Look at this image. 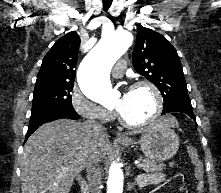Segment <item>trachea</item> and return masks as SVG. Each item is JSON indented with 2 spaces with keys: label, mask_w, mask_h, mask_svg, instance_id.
I'll return each mask as SVG.
<instances>
[{
  "label": "trachea",
  "mask_w": 221,
  "mask_h": 193,
  "mask_svg": "<svg viewBox=\"0 0 221 193\" xmlns=\"http://www.w3.org/2000/svg\"><path fill=\"white\" fill-rule=\"evenodd\" d=\"M112 0H103V10L106 12L110 8Z\"/></svg>",
  "instance_id": "trachea-1"
}]
</instances>
